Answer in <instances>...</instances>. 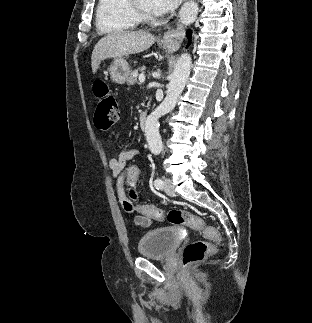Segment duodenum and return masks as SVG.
<instances>
[{"label":"duodenum","mask_w":312,"mask_h":323,"mask_svg":"<svg viewBox=\"0 0 312 323\" xmlns=\"http://www.w3.org/2000/svg\"><path fill=\"white\" fill-rule=\"evenodd\" d=\"M146 122H147L146 112H140L138 115V123H139V127L141 128V130L146 129Z\"/></svg>","instance_id":"obj_1"}]
</instances>
